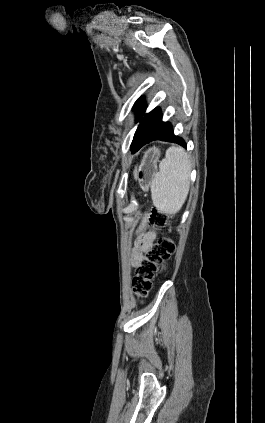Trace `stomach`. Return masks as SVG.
Returning a JSON list of instances; mask_svg holds the SVG:
<instances>
[{
  "mask_svg": "<svg viewBox=\"0 0 265 423\" xmlns=\"http://www.w3.org/2000/svg\"><path fill=\"white\" fill-rule=\"evenodd\" d=\"M160 157V150L153 147L145 152L138 174L145 181H149L157 170V162Z\"/></svg>",
  "mask_w": 265,
  "mask_h": 423,
  "instance_id": "1",
  "label": "stomach"
}]
</instances>
